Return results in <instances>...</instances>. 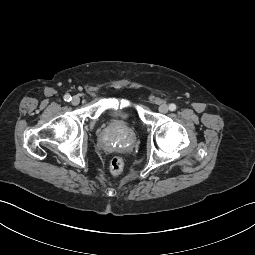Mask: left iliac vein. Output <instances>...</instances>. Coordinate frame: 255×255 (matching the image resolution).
<instances>
[{"instance_id":"1","label":"left iliac vein","mask_w":255,"mask_h":255,"mask_svg":"<svg viewBox=\"0 0 255 255\" xmlns=\"http://www.w3.org/2000/svg\"><path fill=\"white\" fill-rule=\"evenodd\" d=\"M158 110H159V112H161V113L165 114V113H167V112H168L169 107H168V105H167V104L162 103V104H160V106H159Z\"/></svg>"}]
</instances>
